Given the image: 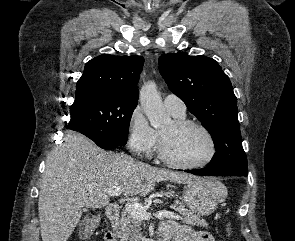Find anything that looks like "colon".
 Returning <instances> with one entry per match:
<instances>
[{
  "instance_id": "1",
  "label": "colon",
  "mask_w": 295,
  "mask_h": 241,
  "mask_svg": "<svg viewBox=\"0 0 295 241\" xmlns=\"http://www.w3.org/2000/svg\"><path fill=\"white\" fill-rule=\"evenodd\" d=\"M98 220L95 217L86 218L81 225V238L88 240L97 228Z\"/></svg>"
}]
</instances>
